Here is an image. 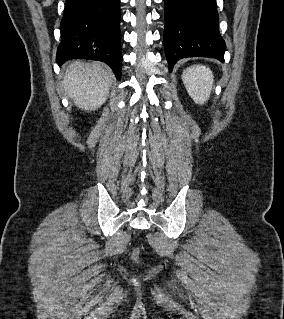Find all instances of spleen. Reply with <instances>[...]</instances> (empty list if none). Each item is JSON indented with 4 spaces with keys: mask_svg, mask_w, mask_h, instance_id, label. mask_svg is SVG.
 <instances>
[{
    "mask_svg": "<svg viewBox=\"0 0 284 319\" xmlns=\"http://www.w3.org/2000/svg\"><path fill=\"white\" fill-rule=\"evenodd\" d=\"M213 73L203 65H194L183 72L182 80L191 98L197 104L205 103L213 86Z\"/></svg>",
    "mask_w": 284,
    "mask_h": 319,
    "instance_id": "1",
    "label": "spleen"
}]
</instances>
